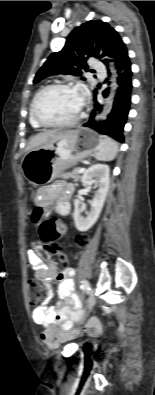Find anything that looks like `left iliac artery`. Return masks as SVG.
<instances>
[{
	"instance_id": "obj_1",
	"label": "left iliac artery",
	"mask_w": 155,
	"mask_h": 395,
	"mask_svg": "<svg viewBox=\"0 0 155 395\" xmlns=\"http://www.w3.org/2000/svg\"><path fill=\"white\" fill-rule=\"evenodd\" d=\"M81 283H82L81 284V289H82L83 292H85L87 290H90V284L88 283L87 280H83Z\"/></svg>"
}]
</instances>
